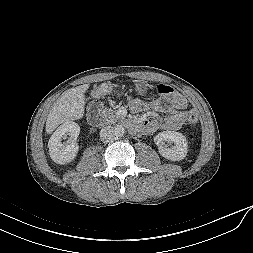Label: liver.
<instances>
[{"label": "liver", "mask_w": 253, "mask_h": 253, "mask_svg": "<svg viewBox=\"0 0 253 253\" xmlns=\"http://www.w3.org/2000/svg\"><path fill=\"white\" fill-rule=\"evenodd\" d=\"M89 84L65 91L52 107L46 122V132L51 134L60 124L81 119L84 115L85 92Z\"/></svg>", "instance_id": "obj_1"}]
</instances>
